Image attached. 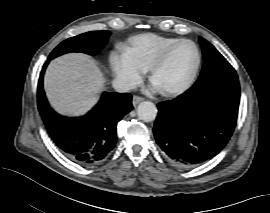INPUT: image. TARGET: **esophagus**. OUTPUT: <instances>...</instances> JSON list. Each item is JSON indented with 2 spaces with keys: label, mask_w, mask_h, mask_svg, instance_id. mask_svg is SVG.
I'll use <instances>...</instances> for the list:
<instances>
[{
  "label": "esophagus",
  "mask_w": 270,
  "mask_h": 213,
  "mask_svg": "<svg viewBox=\"0 0 270 213\" xmlns=\"http://www.w3.org/2000/svg\"><path fill=\"white\" fill-rule=\"evenodd\" d=\"M143 100H144L143 97H140V96H134L132 102H133V105L136 106L137 104H139V103L142 102Z\"/></svg>",
  "instance_id": "34e87169"
}]
</instances>
